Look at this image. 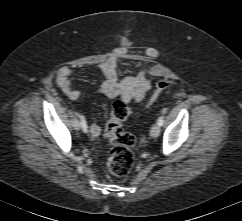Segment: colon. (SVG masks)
<instances>
[{
    "instance_id": "colon-1",
    "label": "colon",
    "mask_w": 242,
    "mask_h": 221,
    "mask_svg": "<svg viewBox=\"0 0 242 221\" xmlns=\"http://www.w3.org/2000/svg\"><path fill=\"white\" fill-rule=\"evenodd\" d=\"M171 85L172 82L169 80H160L149 100V104H152L158 95ZM130 114L131 109L128 103L119 99L114 103L106 123L105 132L111 148L106 155L105 163L107 169L118 177L126 176L134 161L132 147L135 144V137L123 129V122Z\"/></svg>"
}]
</instances>
